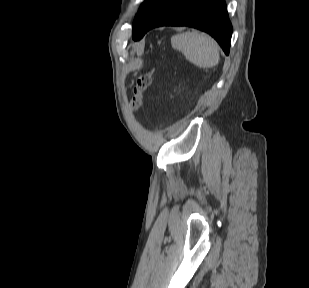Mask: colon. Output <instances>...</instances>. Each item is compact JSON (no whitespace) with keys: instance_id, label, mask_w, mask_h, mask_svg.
<instances>
[{"instance_id":"colon-1","label":"colon","mask_w":309,"mask_h":288,"mask_svg":"<svg viewBox=\"0 0 309 288\" xmlns=\"http://www.w3.org/2000/svg\"><path fill=\"white\" fill-rule=\"evenodd\" d=\"M152 80V70L142 71L137 74L136 86L130 103L133 110H137L141 106L144 93L150 87Z\"/></svg>"}]
</instances>
